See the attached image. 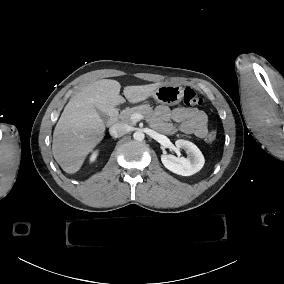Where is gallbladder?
<instances>
[{"instance_id": "bac80fb5", "label": "gallbladder", "mask_w": 284, "mask_h": 284, "mask_svg": "<svg viewBox=\"0 0 284 284\" xmlns=\"http://www.w3.org/2000/svg\"><path fill=\"white\" fill-rule=\"evenodd\" d=\"M100 116H101V118H102V120L104 122H108L109 121V116L107 114L100 113Z\"/></svg>"}]
</instances>
